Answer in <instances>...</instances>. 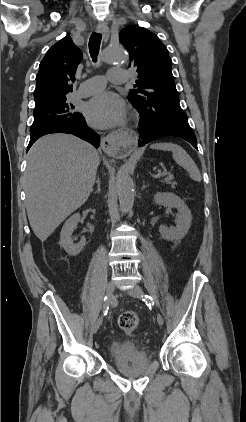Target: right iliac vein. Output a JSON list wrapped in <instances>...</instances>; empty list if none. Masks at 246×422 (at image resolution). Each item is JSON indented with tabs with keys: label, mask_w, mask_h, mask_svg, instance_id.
<instances>
[{
	"label": "right iliac vein",
	"mask_w": 246,
	"mask_h": 422,
	"mask_svg": "<svg viewBox=\"0 0 246 422\" xmlns=\"http://www.w3.org/2000/svg\"><path fill=\"white\" fill-rule=\"evenodd\" d=\"M114 290H115V285L112 281L108 282L107 284V288H106V293H107V301L105 303V305L109 306L110 304H112L113 299H114ZM102 317H100L95 325H94V332H97L98 329L100 328L101 324H102Z\"/></svg>",
	"instance_id": "63e3f726"
}]
</instances>
